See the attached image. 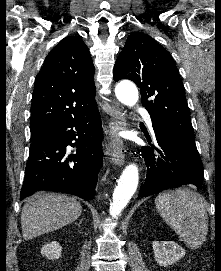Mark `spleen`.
Masks as SVG:
<instances>
[{"label":"spleen","instance_id":"1","mask_svg":"<svg viewBox=\"0 0 221 271\" xmlns=\"http://www.w3.org/2000/svg\"><path fill=\"white\" fill-rule=\"evenodd\" d=\"M156 207L187 247L198 249L206 241L208 213L201 195L191 189H167L159 193Z\"/></svg>","mask_w":221,"mask_h":271}]
</instances>
